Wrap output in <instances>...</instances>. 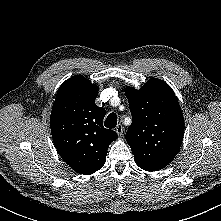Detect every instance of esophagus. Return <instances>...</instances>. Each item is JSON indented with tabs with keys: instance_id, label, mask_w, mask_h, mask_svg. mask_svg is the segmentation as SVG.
Masks as SVG:
<instances>
[{
	"instance_id": "esophagus-1",
	"label": "esophagus",
	"mask_w": 221,
	"mask_h": 221,
	"mask_svg": "<svg viewBox=\"0 0 221 221\" xmlns=\"http://www.w3.org/2000/svg\"><path fill=\"white\" fill-rule=\"evenodd\" d=\"M116 133L120 136L123 133V126L121 124H118L115 128Z\"/></svg>"
}]
</instances>
